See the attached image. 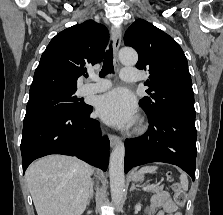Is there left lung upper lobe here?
Listing matches in <instances>:
<instances>
[{
    "instance_id": "obj_1",
    "label": "left lung upper lobe",
    "mask_w": 223,
    "mask_h": 215,
    "mask_svg": "<svg viewBox=\"0 0 223 215\" xmlns=\"http://www.w3.org/2000/svg\"><path fill=\"white\" fill-rule=\"evenodd\" d=\"M126 46L139 55L136 67L149 71L144 83L150 95L139 101L146 113H176L195 117L188 62L178 43L151 23L137 19L126 31Z\"/></svg>"
}]
</instances>
